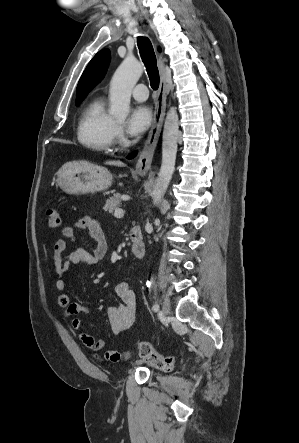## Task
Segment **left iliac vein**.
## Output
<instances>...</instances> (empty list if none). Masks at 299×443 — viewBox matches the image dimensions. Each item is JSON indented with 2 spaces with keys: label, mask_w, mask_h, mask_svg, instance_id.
<instances>
[{
  "label": "left iliac vein",
  "mask_w": 299,
  "mask_h": 443,
  "mask_svg": "<svg viewBox=\"0 0 299 443\" xmlns=\"http://www.w3.org/2000/svg\"><path fill=\"white\" fill-rule=\"evenodd\" d=\"M169 313H170V301L168 298H165L162 306V314L164 317H166L169 315Z\"/></svg>",
  "instance_id": "1"
}]
</instances>
